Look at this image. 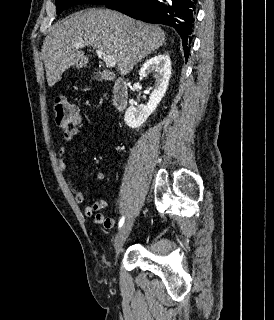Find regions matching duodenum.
<instances>
[{"label":"duodenum","mask_w":274,"mask_h":320,"mask_svg":"<svg viewBox=\"0 0 274 320\" xmlns=\"http://www.w3.org/2000/svg\"><path fill=\"white\" fill-rule=\"evenodd\" d=\"M128 85L124 80H118L114 85L113 105L117 110H122L128 102Z\"/></svg>","instance_id":"obj_1"}]
</instances>
